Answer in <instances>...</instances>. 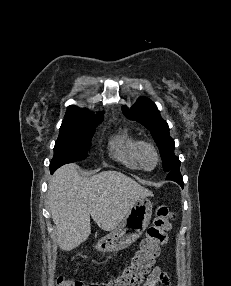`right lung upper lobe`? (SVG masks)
I'll return each instance as SVG.
<instances>
[{"label": "right lung upper lobe", "instance_id": "cb5924a9", "mask_svg": "<svg viewBox=\"0 0 231 286\" xmlns=\"http://www.w3.org/2000/svg\"><path fill=\"white\" fill-rule=\"evenodd\" d=\"M65 116H93L90 111L78 108L77 106H69ZM98 116V115H97Z\"/></svg>", "mask_w": 231, "mask_h": 286}]
</instances>
